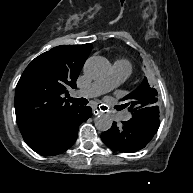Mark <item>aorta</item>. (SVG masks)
I'll list each match as a JSON object with an SVG mask.
<instances>
[{
    "mask_svg": "<svg viewBox=\"0 0 193 193\" xmlns=\"http://www.w3.org/2000/svg\"><path fill=\"white\" fill-rule=\"evenodd\" d=\"M109 67L110 65L106 59L93 57L86 61L84 71L93 79H102L107 76ZM94 124L97 130L104 132L111 128L112 119L108 114L102 113L94 119Z\"/></svg>",
    "mask_w": 193,
    "mask_h": 193,
    "instance_id": "obj_1",
    "label": "aorta"
}]
</instances>
